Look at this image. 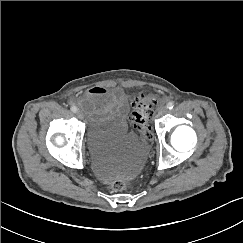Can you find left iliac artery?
Instances as JSON below:
<instances>
[{"instance_id":"44dca946","label":"left iliac artery","mask_w":243,"mask_h":243,"mask_svg":"<svg viewBox=\"0 0 243 243\" xmlns=\"http://www.w3.org/2000/svg\"><path fill=\"white\" fill-rule=\"evenodd\" d=\"M167 109H173L174 108V103L173 102H169L168 104H167Z\"/></svg>"}]
</instances>
